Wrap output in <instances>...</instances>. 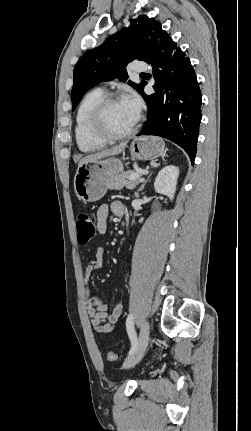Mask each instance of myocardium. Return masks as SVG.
<instances>
[{
    "mask_svg": "<svg viewBox=\"0 0 251 431\" xmlns=\"http://www.w3.org/2000/svg\"><path fill=\"white\" fill-rule=\"evenodd\" d=\"M120 100L121 98L118 95H105L94 107L90 116L89 128L91 134L97 139L106 142L121 140L132 136L138 129L141 119L140 113L137 115L133 126L125 132L113 133L107 129L105 125V112L111 104Z\"/></svg>",
    "mask_w": 251,
    "mask_h": 431,
    "instance_id": "myocardium-1",
    "label": "myocardium"
}]
</instances>
